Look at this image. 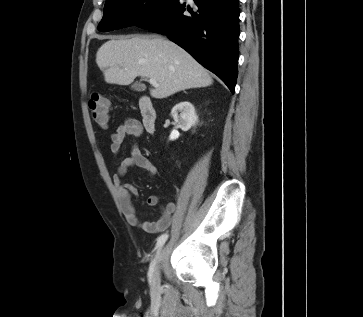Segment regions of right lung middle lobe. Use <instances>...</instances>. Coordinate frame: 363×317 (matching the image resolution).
I'll use <instances>...</instances> for the list:
<instances>
[{
  "label": "right lung middle lobe",
  "mask_w": 363,
  "mask_h": 317,
  "mask_svg": "<svg viewBox=\"0 0 363 317\" xmlns=\"http://www.w3.org/2000/svg\"><path fill=\"white\" fill-rule=\"evenodd\" d=\"M176 0H106L98 30L105 32L139 25L167 11Z\"/></svg>",
  "instance_id": "dd1d6c3e"
}]
</instances>
